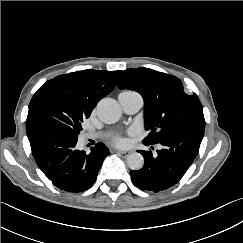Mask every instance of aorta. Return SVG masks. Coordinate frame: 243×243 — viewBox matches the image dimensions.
Returning <instances> with one entry per match:
<instances>
[{
    "label": "aorta",
    "instance_id": "obj_1",
    "mask_svg": "<svg viewBox=\"0 0 243 243\" xmlns=\"http://www.w3.org/2000/svg\"><path fill=\"white\" fill-rule=\"evenodd\" d=\"M122 111L119 104L110 98L102 99L97 104L98 118L106 123H116L121 117ZM127 165L131 170H140L144 164L143 156L138 152H133L126 159Z\"/></svg>",
    "mask_w": 243,
    "mask_h": 243
}]
</instances>
